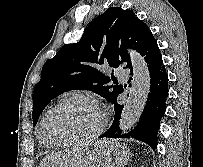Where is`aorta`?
Segmentation results:
<instances>
[{"mask_svg":"<svg viewBox=\"0 0 203 167\" xmlns=\"http://www.w3.org/2000/svg\"><path fill=\"white\" fill-rule=\"evenodd\" d=\"M129 54L132 61L133 79L129 97L120 117L119 127L122 133L131 130L138 122L150 90V73L144 58L132 50H129Z\"/></svg>","mask_w":203,"mask_h":167,"instance_id":"1","label":"aorta"}]
</instances>
